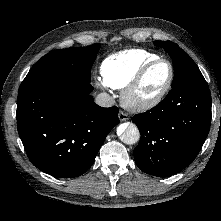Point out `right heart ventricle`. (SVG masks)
<instances>
[{
    "mask_svg": "<svg viewBox=\"0 0 221 221\" xmlns=\"http://www.w3.org/2000/svg\"><path fill=\"white\" fill-rule=\"evenodd\" d=\"M158 57L157 54L144 49L112 54L106 57L100 66L102 81L112 89H123L145 64Z\"/></svg>",
    "mask_w": 221,
    "mask_h": 221,
    "instance_id": "obj_1",
    "label": "right heart ventricle"
}]
</instances>
